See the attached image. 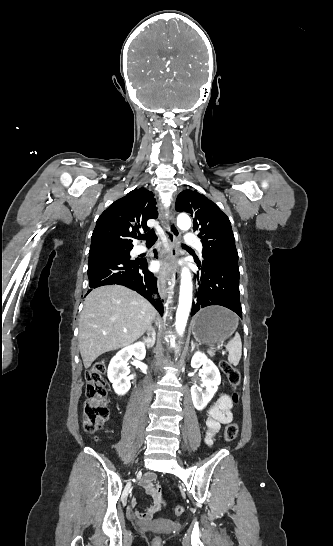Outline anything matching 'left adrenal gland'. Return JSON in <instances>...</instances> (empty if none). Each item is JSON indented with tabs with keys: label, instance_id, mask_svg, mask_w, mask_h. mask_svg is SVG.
I'll return each instance as SVG.
<instances>
[{
	"label": "left adrenal gland",
	"instance_id": "left-adrenal-gland-1",
	"mask_svg": "<svg viewBox=\"0 0 333 546\" xmlns=\"http://www.w3.org/2000/svg\"><path fill=\"white\" fill-rule=\"evenodd\" d=\"M195 347H196V345H195L194 341L192 340L191 341V352L194 351Z\"/></svg>",
	"mask_w": 333,
	"mask_h": 546
}]
</instances>
